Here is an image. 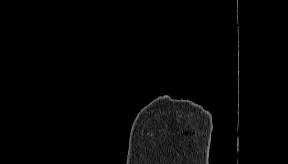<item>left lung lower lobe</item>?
Wrapping results in <instances>:
<instances>
[{"mask_svg": "<svg viewBox=\"0 0 288 164\" xmlns=\"http://www.w3.org/2000/svg\"><path fill=\"white\" fill-rule=\"evenodd\" d=\"M227 82V77L224 74L208 73L203 74L198 79V85L202 90V98L206 99L209 96L211 87H221Z\"/></svg>", "mask_w": 288, "mask_h": 164, "instance_id": "0a47b994", "label": "left lung lower lobe"}]
</instances>
